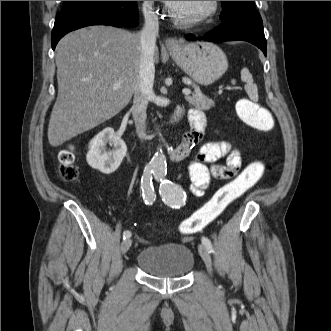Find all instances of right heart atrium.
Returning <instances> with one entry per match:
<instances>
[{"label":"right heart atrium","mask_w":331,"mask_h":331,"mask_svg":"<svg viewBox=\"0 0 331 331\" xmlns=\"http://www.w3.org/2000/svg\"><path fill=\"white\" fill-rule=\"evenodd\" d=\"M142 10L144 16H156V9H154V1H143Z\"/></svg>","instance_id":"right-heart-atrium-1"}]
</instances>
